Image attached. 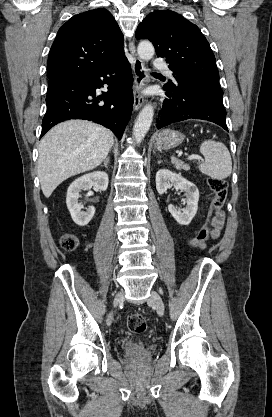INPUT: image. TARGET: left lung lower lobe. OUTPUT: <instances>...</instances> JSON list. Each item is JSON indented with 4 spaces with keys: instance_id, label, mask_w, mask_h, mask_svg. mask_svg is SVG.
<instances>
[{
    "instance_id": "1",
    "label": "left lung lower lobe",
    "mask_w": 272,
    "mask_h": 417,
    "mask_svg": "<svg viewBox=\"0 0 272 417\" xmlns=\"http://www.w3.org/2000/svg\"><path fill=\"white\" fill-rule=\"evenodd\" d=\"M166 97L163 102L157 129L187 119H203L214 122L226 131V110L222 96L208 93L184 80L164 85Z\"/></svg>"
}]
</instances>
